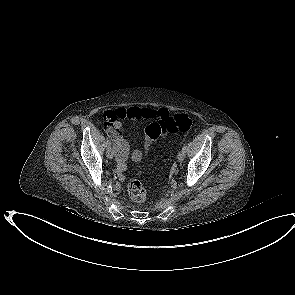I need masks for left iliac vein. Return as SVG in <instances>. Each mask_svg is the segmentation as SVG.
<instances>
[{"label":"left iliac vein","instance_id":"obj_1","mask_svg":"<svg viewBox=\"0 0 295 295\" xmlns=\"http://www.w3.org/2000/svg\"><path fill=\"white\" fill-rule=\"evenodd\" d=\"M185 151L182 149L179 153H178V157H177V159H178V161L179 162H182L183 160H184V158H185Z\"/></svg>","mask_w":295,"mask_h":295}]
</instances>
